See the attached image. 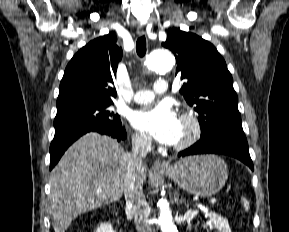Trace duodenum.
Returning <instances> with one entry per match:
<instances>
[{
  "label": "duodenum",
  "mask_w": 289,
  "mask_h": 232,
  "mask_svg": "<svg viewBox=\"0 0 289 232\" xmlns=\"http://www.w3.org/2000/svg\"><path fill=\"white\" fill-rule=\"evenodd\" d=\"M117 231H118V232H122V229H121V228H117Z\"/></svg>",
  "instance_id": "1"
}]
</instances>
